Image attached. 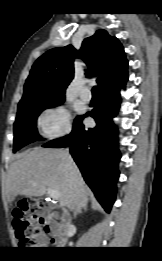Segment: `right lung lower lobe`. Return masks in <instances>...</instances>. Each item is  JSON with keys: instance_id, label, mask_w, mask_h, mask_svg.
<instances>
[{"instance_id": "1", "label": "right lung lower lobe", "mask_w": 162, "mask_h": 261, "mask_svg": "<svg viewBox=\"0 0 162 261\" xmlns=\"http://www.w3.org/2000/svg\"><path fill=\"white\" fill-rule=\"evenodd\" d=\"M101 93L100 102L88 114L74 120L72 132L60 139L52 140L43 147L60 148L71 146L70 153L103 208L109 212L116 197V181L119 177L117 128L113 117L120 107V89ZM90 115L96 127L85 129L82 121Z\"/></svg>"}]
</instances>
